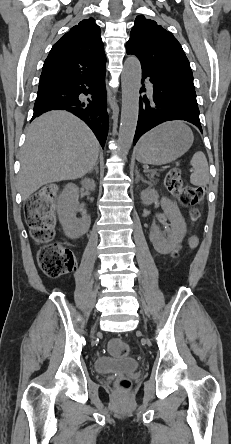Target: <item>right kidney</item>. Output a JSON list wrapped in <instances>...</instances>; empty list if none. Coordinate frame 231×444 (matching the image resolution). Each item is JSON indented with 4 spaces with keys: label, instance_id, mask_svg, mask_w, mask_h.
<instances>
[{
    "label": "right kidney",
    "instance_id": "ca27d5eb",
    "mask_svg": "<svg viewBox=\"0 0 231 444\" xmlns=\"http://www.w3.org/2000/svg\"><path fill=\"white\" fill-rule=\"evenodd\" d=\"M86 190L93 191L95 183L93 180L85 178L81 182ZM79 189L75 184H68L62 191L58 199L57 212L59 221L65 235L71 239L83 236L90 227V217L79 206ZM81 211L82 217L78 219L76 212Z\"/></svg>",
    "mask_w": 231,
    "mask_h": 444
}]
</instances>
